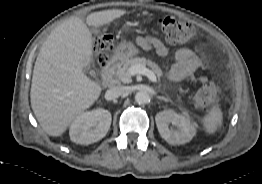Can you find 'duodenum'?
Listing matches in <instances>:
<instances>
[{"label":"duodenum","mask_w":262,"mask_h":184,"mask_svg":"<svg viewBox=\"0 0 262 184\" xmlns=\"http://www.w3.org/2000/svg\"><path fill=\"white\" fill-rule=\"evenodd\" d=\"M121 64V58L115 56L103 67L102 70V84L108 88L112 85V75L117 67Z\"/></svg>","instance_id":"obj_1"}]
</instances>
